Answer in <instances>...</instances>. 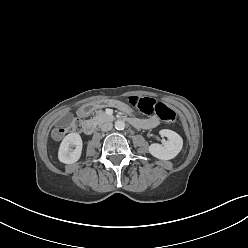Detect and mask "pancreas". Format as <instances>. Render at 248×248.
I'll return each instance as SVG.
<instances>
[{
  "label": "pancreas",
  "instance_id": "obj_1",
  "mask_svg": "<svg viewBox=\"0 0 248 248\" xmlns=\"http://www.w3.org/2000/svg\"><path fill=\"white\" fill-rule=\"evenodd\" d=\"M112 119H113V117L108 116L104 111H101V110L98 111L96 117H94V120H95L98 124H102V123H104V122H106V121H110V120H112Z\"/></svg>",
  "mask_w": 248,
  "mask_h": 248
}]
</instances>
